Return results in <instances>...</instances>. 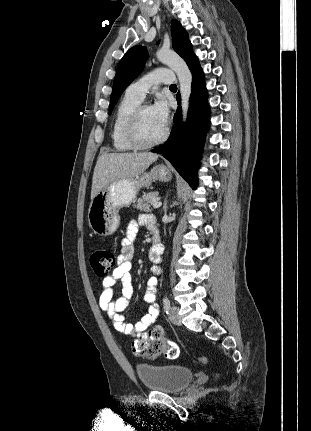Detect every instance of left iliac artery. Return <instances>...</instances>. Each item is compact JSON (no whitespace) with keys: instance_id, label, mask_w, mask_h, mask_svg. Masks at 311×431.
<instances>
[{"instance_id":"obj_1","label":"left iliac artery","mask_w":311,"mask_h":431,"mask_svg":"<svg viewBox=\"0 0 311 431\" xmlns=\"http://www.w3.org/2000/svg\"><path fill=\"white\" fill-rule=\"evenodd\" d=\"M163 308H164L165 312L168 314V311L170 308V300L168 299V297H164V299H163Z\"/></svg>"}]
</instances>
